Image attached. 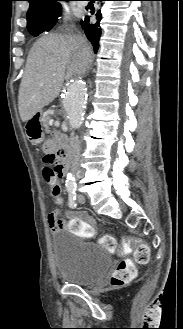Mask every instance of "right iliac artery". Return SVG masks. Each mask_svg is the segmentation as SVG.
Listing matches in <instances>:
<instances>
[{
  "label": "right iliac artery",
  "mask_w": 183,
  "mask_h": 329,
  "mask_svg": "<svg viewBox=\"0 0 183 329\" xmlns=\"http://www.w3.org/2000/svg\"><path fill=\"white\" fill-rule=\"evenodd\" d=\"M68 195H69V207L70 208H76L77 202H76V190L75 189H68Z\"/></svg>",
  "instance_id": "1"
}]
</instances>
